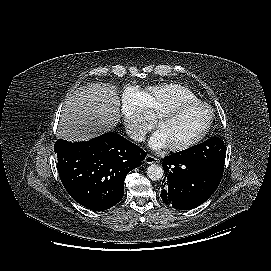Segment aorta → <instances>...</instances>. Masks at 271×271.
Listing matches in <instances>:
<instances>
[{
	"instance_id": "aorta-1",
	"label": "aorta",
	"mask_w": 271,
	"mask_h": 271,
	"mask_svg": "<svg viewBox=\"0 0 271 271\" xmlns=\"http://www.w3.org/2000/svg\"><path fill=\"white\" fill-rule=\"evenodd\" d=\"M164 175L162 166L158 164H152L147 168V176L152 181L160 180Z\"/></svg>"
}]
</instances>
